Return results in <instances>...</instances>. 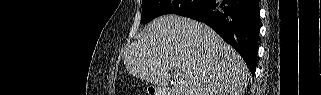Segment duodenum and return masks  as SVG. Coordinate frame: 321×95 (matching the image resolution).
Returning a JSON list of instances; mask_svg holds the SVG:
<instances>
[{
  "label": "duodenum",
  "instance_id": "duodenum-1",
  "mask_svg": "<svg viewBox=\"0 0 321 95\" xmlns=\"http://www.w3.org/2000/svg\"><path fill=\"white\" fill-rule=\"evenodd\" d=\"M156 95H170V92L169 91H159V90H157L156 91Z\"/></svg>",
  "mask_w": 321,
  "mask_h": 95
}]
</instances>
